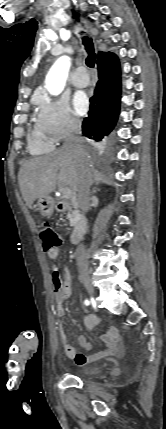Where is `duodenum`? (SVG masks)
I'll return each mask as SVG.
<instances>
[{
  "mask_svg": "<svg viewBox=\"0 0 166 429\" xmlns=\"http://www.w3.org/2000/svg\"><path fill=\"white\" fill-rule=\"evenodd\" d=\"M69 207H70V204L65 202V201H60L56 205V209L58 211H65ZM74 219H75V228H74L73 233L71 235V242H72V244H77L80 242L83 235L87 232L88 220L83 214H81L79 212H77L75 214Z\"/></svg>",
  "mask_w": 166,
  "mask_h": 429,
  "instance_id": "410a0bca",
  "label": "duodenum"
}]
</instances>
